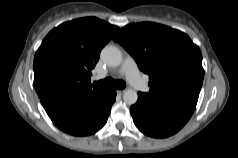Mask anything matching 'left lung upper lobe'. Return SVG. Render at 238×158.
I'll return each mask as SVG.
<instances>
[{
    "mask_svg": "<svg viewBox=\"0 0 238 158\" xmlns=\"http://www.w3.org/2000/svg\"><path fill=\"white\" fill-rule=\"evenodd\" d=\"M149 75L155 98L200 92L204 70L202 54L188 35L156 23L129 24L113 38Z\"/></svg>",
    "mask_w": 238,
    "mask_h": 158,
    "instance_id": "left-lung-upper-lobe-1",
    "label": "left lung upper lobe"
}]
</instances>
